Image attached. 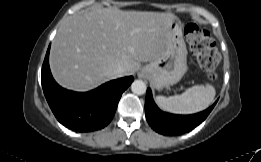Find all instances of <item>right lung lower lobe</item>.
Instances as JSON below:
<instances>
[{"mask_svg":"<svg viewBox=\"0 0 261 162\" xmlns=\"http://www.w3.org/2000/svg\"><path fill=\"white\" fill-rule=\"evenodd\" d=\"M47 50L41 72V83L46 100L65 127L78 132L104 128L112 120L122 93L133 82L132 76L107 82L85 93L73 92L59 86L49 68Z\"/></svg>","mask_w":261,"mask_h":162,"instance_id":"98d812e1","label":"right lung lower lobe"}]
</instances>
